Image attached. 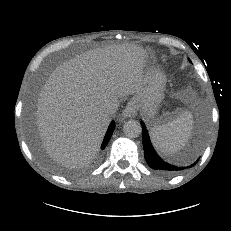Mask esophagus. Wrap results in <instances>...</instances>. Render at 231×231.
<instances>
[{
    "mask_svg": "<svg viewBox=\"0 0 231 231\" xmlns=\"http://www.w3.org/2000/svg\"><path fill=\"white\" fill-rule=\"evenodd\" d=\"M137 114L136 106L133 102H129L125 109L122 112V118L123 119H131L134 118Z\"/></svg>",
    "mask_w": 231,
    "mask_h": 231,
    "instance_id": "obj_1",
    "label": "esophagus"
}]
</instances>
